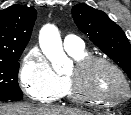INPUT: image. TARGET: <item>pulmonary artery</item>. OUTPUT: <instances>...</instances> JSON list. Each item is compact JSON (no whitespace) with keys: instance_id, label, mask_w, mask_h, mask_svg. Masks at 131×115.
Returning <instances> with one entry per match:
<instances>
[{"instance_id":"obj_1","label":"pulmonary artery","mask_w":131,"mask_h":115,"mask_svg":"<svg viewBox=\"0 0 131 115\" xmlns=\"http://www.w3.org/2000/svg\"><path fill=\"white\" fill-rule=\"evenodd\" d=\"M64 48L67 52L84 49L83 41L76 35H67L64 38Z\"/></svg>"}]
</instances>
